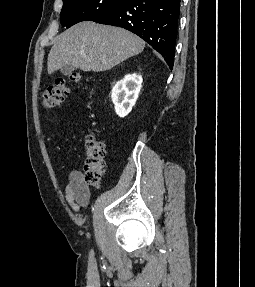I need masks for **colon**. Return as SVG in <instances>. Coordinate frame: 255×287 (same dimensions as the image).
Instances as JSON below:
<instances>
[{
	"label": "colon",
	"mask_w": 255,
	"mask_h": 287,
	"mask_svg": "<svg viewBox=\"0 0 255 287\" xmlns=\"http://www.w3.org/2000/svg\"><path fill=\"white\" fill-rule=\"evenodd\" d=\"M71 80L79 83L80 76L77 73L71 75ZM70 87L63 79H58L49 86L42 95V106L51 110L58 107L70 93ZM105 145L90 134L85 143V162L83 177L87 185L99 187L102 181L105 167Z\"/></svg>",
	"instance_id": "colon-1"
}]
</instances>
